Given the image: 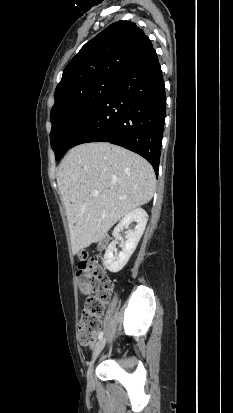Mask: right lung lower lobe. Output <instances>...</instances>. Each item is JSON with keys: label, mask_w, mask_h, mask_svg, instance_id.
Returning <instances> with one entry per match:
<instances>
[{"label": "right lung lower lobe", "mask_w": 233, "mask_h": 413, "mask_svg": "<svg viewBox=\"0 0 233 413\" xmlns=\"http://www.w3.org/2000/svg\"><path fill=\"white\" fill-rule=\"evenodd\" d=\"M166 112L165 86L153 48L125 68L71 147L110 142L147 159L158 174Z\"/></svg>", "instance_id": "98d812e1"}]
</instances>
